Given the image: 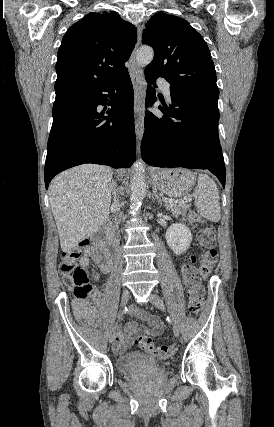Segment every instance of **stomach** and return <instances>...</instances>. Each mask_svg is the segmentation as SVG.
<instances>
[{
  "instance_id": "obj_1",
  "label": "stomach",
  "mask_w": 274,
  "mask_h": 427,
  "mask_svg": "<svg viewBox=\"0 0 274 427\" xmlns=\"http://www.w3.org/2000/svg\"><path fill=\"white\" fill-rule=\"evenodd\" d=\"M150 176L155 188L170 198L186 196L195 184V174L182 168H175V170L150 168Z\"/></svg>"
}]
</instances>
